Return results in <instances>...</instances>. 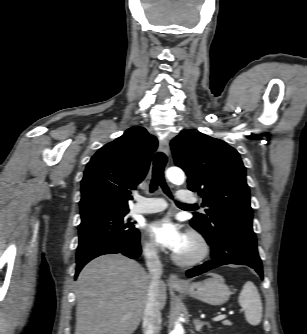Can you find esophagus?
<instances>
[{
	"label": "esophagus",
	"mask_w": 307,
	"mask_h": 334,
	"mask_svg": "<svg viewBox=\"0 0 307 334\" xmlns=\"http://www.w3.org/2000/svg\"><path fill=\"white\" fill-rule=\"evenodd\" d=\"M160 150L167 156H169L170 148L168 139H162L159 142ZM169 285L173 287H186L187 282L181 280L176 274H170L168 277Z\"/></svg>",
	"instance_id": "34e87169"
}]
</instances>
